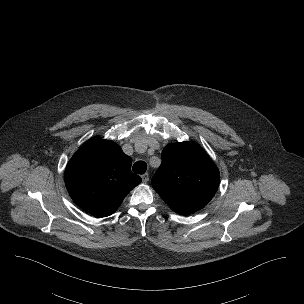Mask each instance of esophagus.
<instances>
[{
	"label": "esophagus",
	"instance_id": "1",
	"mask_svg": "<svg viewBox=\"0 0 304 304\" xmlns=\"http://www.w3.org/2000/svg\"><path fill=\"white\" fill-rule=\"evenodd\" d=\"M142 181L143 183H147L149 181V174L145 173L142 175Z\"/></svg>",
	"mask_w": 304,
	"mask_h": 304
}]
</instances>
